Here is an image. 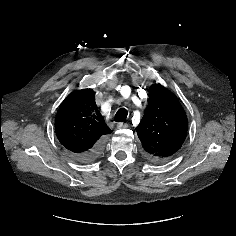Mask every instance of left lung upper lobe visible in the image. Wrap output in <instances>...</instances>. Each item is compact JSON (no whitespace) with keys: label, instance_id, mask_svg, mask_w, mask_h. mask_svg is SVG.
<instances>
[{"label":"left lung upper lobe","instance_id":"obj_1","mask_svg":"<svg viewBox=\"0 0 236 236\" xmlns=\"http://www.w3.org/2000/svg\"><path fill=\"white\" fill-rule=\"evenodd\" d=\"M187 129V116L177 97L153 84L146 113L136 127L145 156L155 163L168 161L184 143Z\"/></svg>","mask_w":236,"mask_h":236}]
</instances>
